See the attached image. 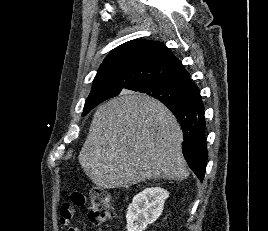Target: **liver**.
<instances>
[{
	"mask_svg": "<svg viewBox=\"0 0 268 231\" xmlns=\"http://www.w3.org/2000/svg\"><path fill=\"white\" fill-rule=\"evenodd\" d=\"M182 141L180 125L165 105L125 91L96 110L79 163L104 189L159 178L181 181L189 175Z\"/></svg>",
	"mask_w": 268,
	"mask_h": 231,
	"instance_id": "obj_1",
	"label": "liver"
}]
</instances>
